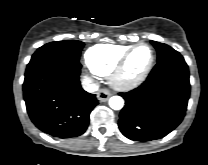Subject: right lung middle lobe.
Wrapping results in <instances>:
<instances>
[{"label": "right lung middle lobe", "instance_id": "1", "mask_svg": "<svg viewBox=\"0 0 208 165\" xmlns=\"http://www.w3.org/2000/svg\"><path fill=\"white\" fill-rule=\"evenodd\" d=\"M84 43L78 40H64L50 42L40 47L32 56L31 61H36L44 56L56 53H64L79 60Z\"/></svg>", "mask_w": 208, "mask_h": 165}]
</instances>
